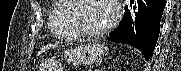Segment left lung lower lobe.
Here are the masks:
<instances>
[{"mask_svg": "<svg viewBox=\"0 0 181 71\" xmlns=\"http://www.w3.org/2000/svg\"><path fill=\"white\" fill-rule=\"evenodd\" d=\"M137 2L138 12L134 13V19L126 6L120 26L107 37V40L132 45L149 60L158 40L166 0H137ZM132 4L133 0H130V5Z\"/></svg>", "mask_w": 181, "mask_h": 71, "instance_id": "0a47b994", "label": "left lung lower lobe"}]
</instances>
